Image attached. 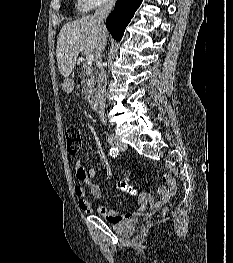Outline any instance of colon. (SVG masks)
Returning <instances> with one entry per match:
<instances>
[{"label":"colon","mask_w":233,"mask_h":263,"mask_svg":"<svg viewBox=\"0 0 233 263\" xmlns=\"http://www.w3.org/2000/svg\"><path fill=\"white\" fill-rule=\"evenodd\" d=\"M64 134H65L66 147L68 152L70 154H76L77 152H79L82 146V137H81L80 129L76 125H68L65 128ZM129 174L131 175L132 173L130 172ZM134 174L136 176H141L142 172L136 171ZM118 186L120 189L124 191L130 190L128 184L123 181L118 182Z\"/></svg>","instance_id":"5ec220e1"}]
</instances>
